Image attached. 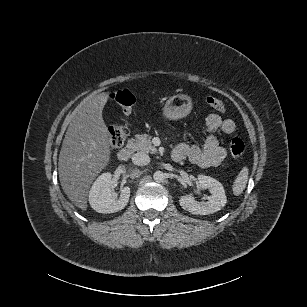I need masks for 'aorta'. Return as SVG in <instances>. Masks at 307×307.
<instances>
[{"instance_id":"1","label":"aorta","mask_w":307,"mask_h":307,"mask_svg":"<svg viewBox=\"0 0 307 307\" xmlns=\"http://www.w3.org/2000/svg\"><path fill=\"white\" fill-rule=\"evenodd\" d=\"M166 179V175L162 171H156L153 175V180L157 183H162Z\"/></svg>"}]
</instances>
